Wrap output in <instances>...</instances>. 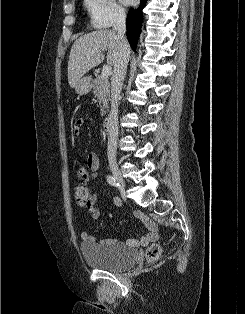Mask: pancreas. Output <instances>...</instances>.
Returning a JSON list of instances; mask_svg holds the SVG:
<instances>
[{
  "instance_id": "1",
  "label": "pancreas",
  "mask_w": 245,
  "mask_h": 314,
  "mask_svg": "<svg viewBox=\"0 0 245 314\" xmlns=\"http://www.w3.org/2000/svg\"><path fill=\"white\" fill-rule=\"evenodd\" d=\"M109 82L101 76H97L93 81V93L97 97L100 104L101 116L106 114L108 110V103L110 101Z\"/></svg>"
}]
</instances>
